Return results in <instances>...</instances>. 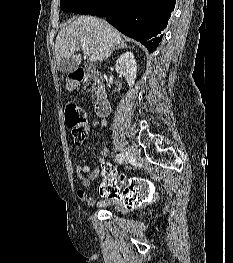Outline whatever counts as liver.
<instances>
[{"label":"liver","instance_id":"liver-1","mask_svg":"<svg viewBox=\"0 0 233 263\" xmlns=\"http://www.w3.org/2000/svg\"><path fill=\"white\" fill-rule=\"evenodd\" d=\"M122 41L121 33L105 20L81 16L58 33L55 40V60L57 65L61 60L72 62V71L81 62V43H85L89 53L102 62L106 54ZM73 46L76 47L74 52L71 51Z\"/></svg>","mask_w":233,"mask_h":263}]
</instances>
